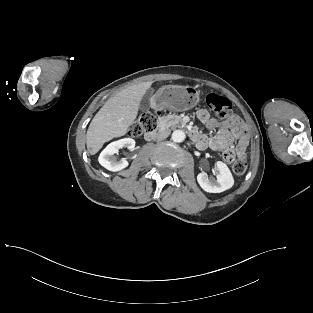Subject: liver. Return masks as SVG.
<instances>
[{
  "instance_id": "obj_1",
  "label": "liver",
  "mask_w": 313,
  "mask_h": 313,
  "mask_svg": "<svg viewBox=\"0 0 313 313\" xmlns=\"http://www.w3.org/2000/svg\"><path fill=\"white\" fill-rule=\"evenodd\" d=\"M153 82L130 86L106 101L86 134L88 152L95 155L105 142L125 135L137 117L140 102Z\"/></svg>"
}]
</instances>
